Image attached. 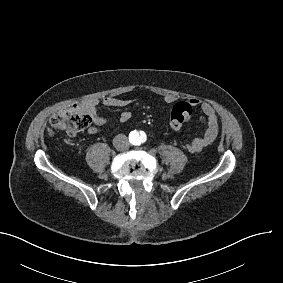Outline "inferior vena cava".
Returning <instances> with one entry per match:
<instances>
[{"mask_svg": "<svg viewBox=\"0 0 283 283\" xmlns=\"http://www.w3.org/2000/svg\"><path fill=\"white\" fill-rule=\"evenodd\" d=\"M129 141L126 135L118 134L113 139V146L118 151H125L129 148Z\"/></svg>", "mask_w": 283, "mask_h": 283, "instance_id": "1", "label": "inferior vena cava"}]
</instances>
